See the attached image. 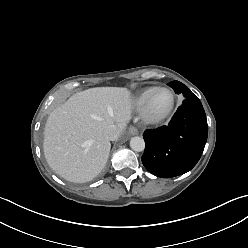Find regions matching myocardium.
<instances>
[{
    "label": "myocardium",
    "mask_w": 248,
    "mask_h": 248,
    "mask_svg": "<svg viewBox=\"0 0 248 248\" xmlns=\"http://www.w3.org/2000/svg\"><path fill=\"white\" fill-rule=\"evenodd\" d=\"M158 92H165L169 95V104L161 111L154 112L151 109V102L154 97V95ZM175 107V97L173 93L164 87H155L153 88L149 94L147 95L142 108H141V118L144 123L149 125H156L164 120H166L172 113Z\"/></svg>",
    "instance_id": "f54148a6"
}]
</instances>
